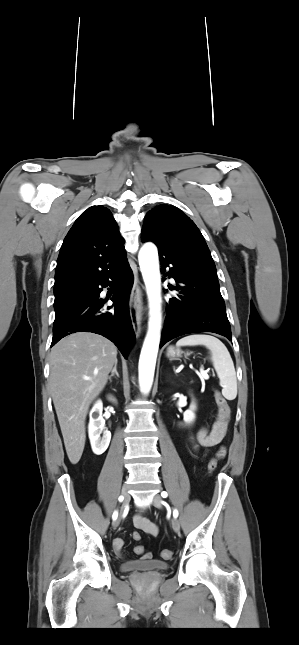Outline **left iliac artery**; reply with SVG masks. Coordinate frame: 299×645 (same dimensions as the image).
<instances>
[{"label":"left iliac artery","instance_id":"left-iliac-artery-1","mask_svg":"<svg viewBox=\"0 0 299 645\" xmlns=\"http://www.w3.org/2000/svg\"><path fill=\"white\" fill-rule=\"evenodd\" d=\"M161 496H162L163 498H166V497L168 496V494H167V492L163 491V492L161 493ZM173 516H174L175 518H177V517H178V511H177L176 509L173 511Z\"/></svg>","mask_w":299,"mask_h":645}]
</instances>
